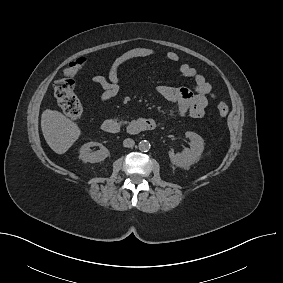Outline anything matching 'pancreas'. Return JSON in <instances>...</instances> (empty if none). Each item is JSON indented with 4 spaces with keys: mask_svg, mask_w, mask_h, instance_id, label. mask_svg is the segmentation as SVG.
<instances>
[{
    "mask_svg": "<svg viewBox=\"0 0 283 283\" xmlns=\"http://www.w3.org/2000/svg\"><path fill=\"white\" fill-rule=\"evenodd\" d=\"M121 123H122V124H126L127 122H126V121H121Z\"/></svg>",
    "mask_w": 283,
    "mask_h": 283,
    "instance_id": "pancreas-1",
    "label": "pancreas"
}]
</instances>
